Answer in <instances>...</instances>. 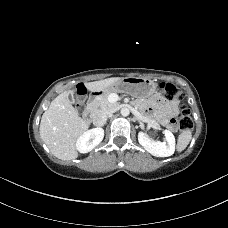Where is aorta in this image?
<instances>
[{
    "label": "aorta",
    "mask_w": 228,
    "mask_h": 228,
    "mask_svg": "<svg viewBox=\"0 0 228 228\" xmlns=\"http://www.w3.org/2000/svg\"><path fill=\"white\" fill-rule=\"evenodd\" d=\"M129 114H130V110H129L127 107H123V108L121 109V115H122V116L126 117V116H128Z\"/></svg>",
    "instance_id": "aorta-1"
}]
</instances>
